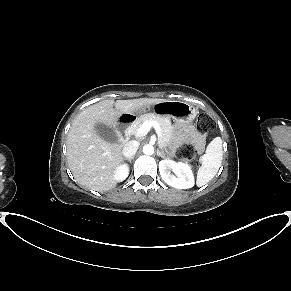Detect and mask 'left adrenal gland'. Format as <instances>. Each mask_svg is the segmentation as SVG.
Segmentation results:
<instances>
[{"label":"left adrenal gland","instance_id":"obj_1","mask_svg":"<svg viewBox=\"0 0 291 291\" xmlns=\"http://www.w3.org/2000/svg\"><path fill=\"white\" fill-rule=\"evenodd\" d=\"M157 156H160L162 158H165L164 155H163V153H162V151L159 150V149H157Z\"/></svg>","mask_w":291,"mask_h":291}]
</instances>
